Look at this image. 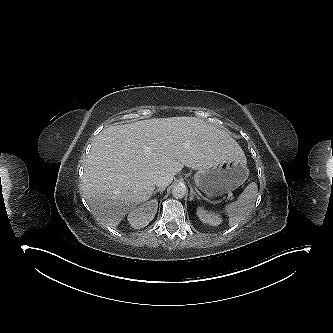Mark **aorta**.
Here are the masks:
<instances>
[{
    "label": "aorta",
    "mask_w": 333,
    "mask_h": 333,
    "mask_svg": "<svg viewBox=\"0 0 333 333\" xmlns=\"http://www.w3.org/2000/svg\"><path fill=\"white\" fill-rule=\"evenodd\" d=\"M186 194V187L184 184H176L172 188V195L176 199H181Z\"/></svg>",
    "instance_id": "762f6f07"
}]
</instances>
